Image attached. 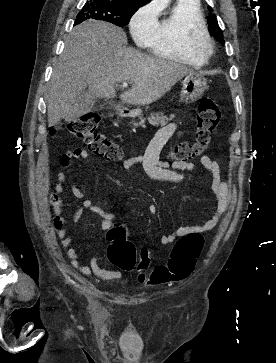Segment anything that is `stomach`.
Masks as SVG:
<instances>
[{
  "mask_svg": "<svg viewBox=\"0 0 276 363\" xmlns=\"http://www.w3.org/2000/svg\"><path fill=\"white\" fill-rule=\"evenodd\" d=\"M206 86L207 81L202 75L196 73L188 74L182 81L180 102H183L185 104H191L196 102L203 96ZM141 114V109L137 108L130 111L127 116L137 117Z\"/></svg>",
  "mask_w": 276,
  "mask_h": 363,
  "instance_id": "stomach-1",
  "label": "stomach"
}]
</instances>
